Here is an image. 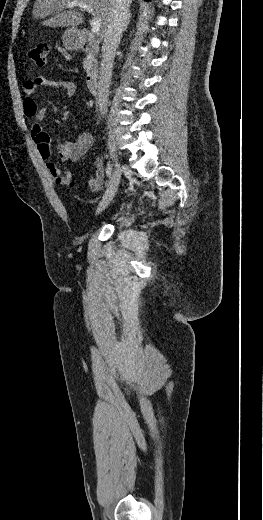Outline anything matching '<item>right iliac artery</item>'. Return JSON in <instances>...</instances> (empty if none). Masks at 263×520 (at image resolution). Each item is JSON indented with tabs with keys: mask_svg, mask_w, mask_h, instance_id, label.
Segmentation results:
<instances>
[{
	"mask_svg": "<svg viewBox=\"0 0 263 520\" xmlns=\"http://www.w3.org/2000/svg\"><path fill=\"white\" fill-rule=\"evenodd\" d=\"M111 174H112V167L111 165L108 163L107 164V167H106V175L108 178H111Z\"/></svg>",
	"mask_w": 263,
	"mask_h": 520,
	"instance_id": "82829eb1",
	"label": "right iliac artery"
}]
</instances>
